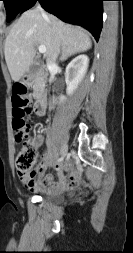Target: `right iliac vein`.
Here are the masks:
<instances>
[{
  "label": "right iliac vein",
  "instance_id": "1",
  "mask_svg": "<svg viewBox=\"0 0 133 253\" xmlns=\"http://www.w3.org/2000/svg\"><path fill=\"white\" fill-rule=\"evenodd\" d=\"M67 152H68V145L67 144H64L61 148V155L62 157H65L67 155Z\"/></svg>",
  "mask_w": 133,
  "mask_h": 253
}]
</instances>
